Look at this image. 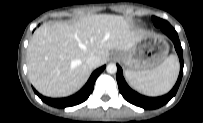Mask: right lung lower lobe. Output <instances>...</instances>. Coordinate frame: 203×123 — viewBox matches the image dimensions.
<instances>
[{"label":"right lung lower lobe","mask_w":203,"mask_h":123,"mask_svg":"<svg viewBox=\"0 0 203 123\" xmlns=\"http://www.w3.org/2000/svg\"><path fill=\"white\" fill-rule=\"evenodd\" d=\"M105 69V66H102L95 70L92 75L90 76L89 80L85 84V86L76 94L69 96L67 98H48L45 96H42L39 94L35 89L34 92L36 95L46 104L56 107V108H65V107H71L74 105H78L89 97V95L92 93L93 88H94V83L99 76V74Z\"/></svg>","instance_id":"98d812e1"}]
</instances>
